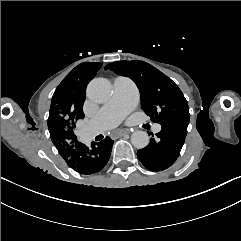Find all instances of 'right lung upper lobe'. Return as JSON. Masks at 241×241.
I'll list each match as a JSON object with an SVG mask.
<instances>
[{"label": "right lung upper lobe", "mask_w": 241, "mask_h": 241, "mask_svg": "<svg viewBox=\"0 0 241 241\" xmlns=\"http://www.w3.org/2000/svg\"><path fill=\"white\" fill-rule=\"evenodd\" d=\"M83 118V107L74 118H67L49 112L48 129L51 140L56 148L70 145L77 140L76 135L74 134L75 124L77 120Z\"/></svg>", "instance_id": "cb5924a9"}]
</instances>
